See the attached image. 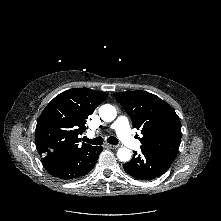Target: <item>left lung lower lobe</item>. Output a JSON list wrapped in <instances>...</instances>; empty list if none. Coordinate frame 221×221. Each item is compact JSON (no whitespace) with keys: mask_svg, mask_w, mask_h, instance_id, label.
Returning <instances> with one entry per match:
<instances>
[{"mask_svg":"<svg viewBox=\"0 0 221 221\" xmlns=\"http://www.w3.org/2000/svg\"><path fill=\"white\" fill-rule=\"evenodd\" d=\"M142 154L133 152L130 162L124 164V170L132 177L140 180H151L164 174L175 157L156 152L150 149L141 148Z\"/></svg>","mask_w":221,"mask_h":221,"instance_id":"1","label":"left lung lower lobe"}]
</instances>
